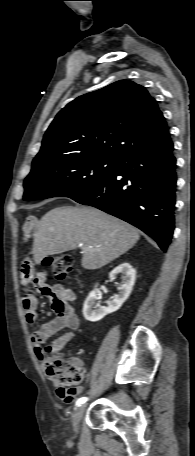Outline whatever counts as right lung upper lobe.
Listing matches in <instances>:
<instances>
[{
  "label": "right lung upper lobe",
  "instance_id": "1",
  "mask_svg": "<svg viewBox=\"0 0 195 456\" xmlns=\"http://www.w3.org/2000/svg\"><path fill=\"white\" fill-rule=\"evenodd\" d=\"M170 140L156 100L141 85L120 80L66 105L47 129L32 166L65 157L118 161Z\"/></svg>",
  "mask_w": 195,
  "mask_h": 456
}]
</instances>
